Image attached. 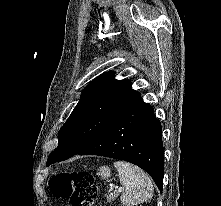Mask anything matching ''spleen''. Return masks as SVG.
<instances>
[{
	"label": "spleen",
	"mask_w": 221,
	"mask_h": 206,
	"mask_svg": "<svg viewBox=\"0 0 221 206\" xmlns=\"http://www.w3.org/2000/svg\"><path fill=\"white\" fill-rule=\"evenodd\" d=\"M114 167L119 173L120 182L123 186L120 199L124 206H135L152 199L153 184L144 171L124 161H116Z\"/></svg>",
	"instance_id": "1"
}]
</instances>
